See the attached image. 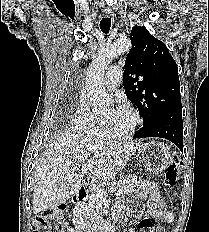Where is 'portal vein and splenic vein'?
Returning a JSON list of instances; mask_svg holds the SVG:
<instances>
[{
    "mask_svg": "<svg viewBox=\"0 0 209 232\" xmlns=\"http://www.w3.org/2000/svg\"><path fill=\"white\" fill-rule=\"evenodd\" d=\"M88 171H89V166H84L80 169V172L82 175H86L88 173ZM90 178H91L90 186H91L92 190L94 191L96 197L98 199H100V201H105L107 198L106 191L95 184L94 179H92V176H90L88 179L90 180ZM122 194H123V189L120 188L117 191L116 196H121Z\"/></svg>",
    "mask_w": 209,
    "mask_h": 232,
    "instance_id": "1",
    "label": "portal vein and splenic vein"
}]
</instances>
